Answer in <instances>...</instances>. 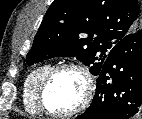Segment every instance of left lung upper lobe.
<instances>
[{"mask_svg":"<svg viewBox=\"0 0 142 119\" xmlns=\"http://www.w3.org/2000/svg\"><path fill=\"white\" fill-rule=\"evenodd\" d=\"M142 27L137 0H54L48 8L28 64L52 57H76L97 76L107 54Z\"/></svg>","mask_w":142,"mask_h":119,"instance_id":"1","label":"left lung upper lobe"}]
</instances>
